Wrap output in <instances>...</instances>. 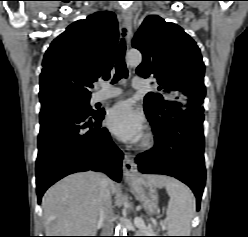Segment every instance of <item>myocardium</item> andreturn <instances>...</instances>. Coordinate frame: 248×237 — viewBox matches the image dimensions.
<instances>
[{
  "label": "myocardium",
  "instance_id": "myocardium-1",
  "mask_svg": "<svg viewBox=\"0 0 248 237\" xmlns=\"http://www.w3.org/2000/svg\"><path fill=\"white\" fill-rule=\"evenodd\" d=\"M154 145H155L154 136L151 133H149L142 140L140 144V148L143 150H149V149H152Z\"/></svg>",
  "mask_w": 248,
  "mask_h": 237
}]
</instances>
